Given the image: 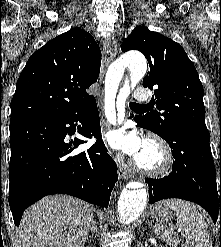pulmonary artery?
Wrapping results in <instances>:
<instances>
[{
	"label": "pulmonary artery",
	"instance_id": "pulmonary-artery-1",
	"mask_svg": "<svg viewBox=\"0 0 221 247\" xmlns=\"http://www.w3.org/2000/svg\"><path fill=\"white\" fill-rule=\"evenodd\" d=\"M150 97L149 92L146 90H136L134 92V98L139 101H146Z\"/></svg>",
	"mask_w": 221,
	"mask_h": 247
}]
</instances>
